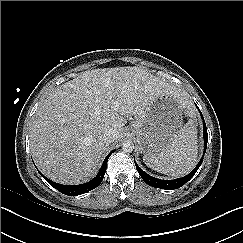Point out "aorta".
<instances>
[{
    "instance_id": "aorta-1",
    "label": "aorta",
    "mask_w": 243,
    "mask_h": 243,
    "mask_svg": "<svg viewBox=\"0 0 243 243\" xmlns=\"http://www.w3.org/2000/svg\"><path fill=\"white\" fill-rule=\"evenodd\" d=\"M134 149V143L131 140H125L122 143V151L125 153H131Z\"/></svg>"
}]
</instances>
